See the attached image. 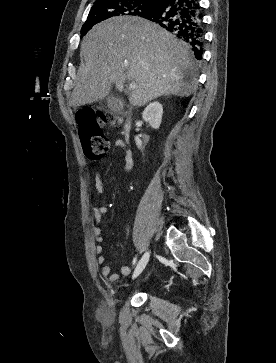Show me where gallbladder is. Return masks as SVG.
<instances>
[{"label":"gallbladder","mask_w":276,"mask_h":363,"mask_svg":"<svg viewBox=\"0 0 276 363\" xmlns=\"http://www.w3.org/2000/svg\"><path fill=\"white\" fill-rule=\"evenodd\" d=\"M106 103L108 108L114 112H119L123 108V102L121 101V99H118L113 95H110L106 98Z\"/></svg>","instance_id":"bac80fb5"}]
</instances>
